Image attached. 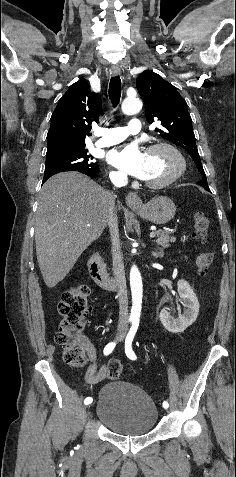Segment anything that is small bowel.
I'll return each instance as SVG.
<instances>
[{
	"instance_id": "obj_1",
	"label": "small bowel",
	"mask_w": 236,
	"mask_h": 477,
	"mask_svg": "<svg viewBox=\"0 0 236 477\" xmlns=\"http://www.w3.org/2000/svg\"><path fill=\"white\" fill-rule=\"evenodd\" d=\"M83 348L90 360V366L86 372V380L90 384H95L102 381L108 373L107 366L98 368L97 366V351L94 345L87 338L81 339Z\"/></svg>"
}]
</instances>
